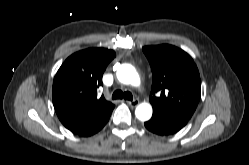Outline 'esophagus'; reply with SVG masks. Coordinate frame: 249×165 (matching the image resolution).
Segmentation results:
<instances>
[{
  "mask_svg": "<svg viewBox=\"0 0 249 165\" xmlns=\"http://www.w3.org/2000/svg\"><path fill=\"white\" fill-rule=\"evenodd\" d=\"M128 104L131 107H136L139 104V100L135 99V100H132V101H128Z\"/></svg>",
  "mask_w": 249,
  "mask_h": 165,
  "instance_id": "34e87169",
  "label": "esophagus"
}]
</instances>
